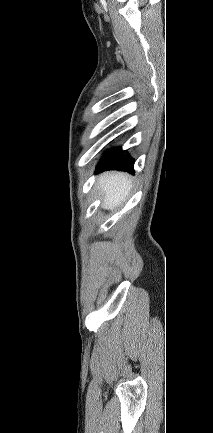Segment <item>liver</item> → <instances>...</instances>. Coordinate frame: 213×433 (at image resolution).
<instances>
[{"instance_id": "liver-1", "label": "liver", "mask_w": 213, "mask_h": 433, "mask_svg": "<svg viewBox=\"0 0 213 433\" xmlns=\"http://www.w3.org/2000/svg\"><path fill=\"white\" fill-rule=\"evenodd\" d=\"M97 187L104 195L102 206L113 210L129 196L132 188V181L129 175L121 172H106L99 176Z\"/></svg>"}]
</instances>
